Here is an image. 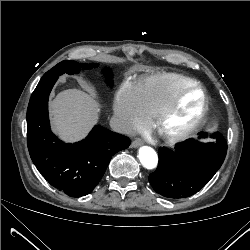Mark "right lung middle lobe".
<instances>
[{
	"label": "right lung middle lobe",
	"mask_w": 250,
	"mask_h": 250,
	"mask_svg": "<svg viewBox=\"0 0 250 250\" xmlns=\"http://www.w3.org/2000/svg\"><path fill=\"white\" fill-rule=\"evenodd\" d=\"M99 64H79L76 61H70V60H65L60 63H58L56 66H54L52 69H50L48 72L44 74V76L41 78L47 79L50 77H58L62 75L63 73H68V74H77L80 72L81 69L84 70H91L94 68H97ZM104 73L106 76L110 75V72L106 69H104ZM107 84L112 85V78L107 77Z\"/></svg>",
	"instance_id": "dd1d6c3e"
}]
</instances>
